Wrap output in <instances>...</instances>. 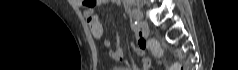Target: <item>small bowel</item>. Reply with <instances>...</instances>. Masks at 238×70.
I'll return each mask as SVG.
<instances>
[{
	"label": "small bowel",
	"mask_w": 238,
	"mask_h": 70,
	"mask_svg": "<svg viewBox=\"0 0 238 70\" xmlns=\"http://www.w3.org/2000/svg\"><path fill=\"white\" fill-rule=\"evenodd\" d=\"M109 2H116L115 0H97L92 2L79 1V4L83 6V14L88 23L91 34L94 38L100 39L103 36V26L99 17L94 13L93 6L95 4H106ZM103 44L105 47L111 46V41L109 39H104ZM148 47V42L145 37L140 36L135 47V52L139 56H143L145 49ZM109 56L119 62L125 60V55L123 49L117 45L115 49L109 51ZM151 61L148 57H143L141 62V67H133L132 70H148L150 69ZM119 70H129L124 67L116 68Z\"/></svg>",
	"instance_id": "1"
}]
</instances>
